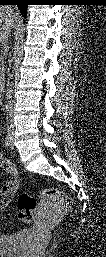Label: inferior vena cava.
I'll use <instances>...</instances> for the list:
<instances>
[{"instance_id":"1","label":"inferior vena cava","mask_w":106,"mask_h":257,"mask_svg":"<svg viewBox=\"0 0 106 257\" xmlns=\"http://www.w3.org/2000/svg\"><path fill=\"white\" fill-rule=\"evenodd\" d=\"M9 72V70H8ZM12 85L11 83L8 81L7 83V90H6V104H5V109H6V122H7V127L8 129H12L13 128V119H12V114H13V103H12Z\"/></svg>"}]
</instances>
